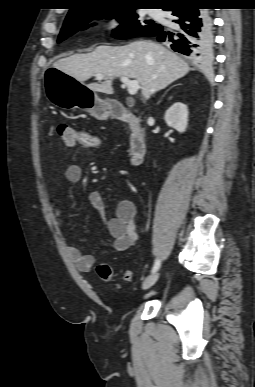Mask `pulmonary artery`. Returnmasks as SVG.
<instances>
[{
    "label": "pulmonary artery",
    "instance_id": "e3ab8cb5",
    "mask_svg": "<svg viewBox=\"0 0 255 387\" xmlns=\"http://www.w3.org/2000/svg\"><path fill=\"white\" fill-rule=\"evenodd\" d=\"M150 15L153 16V17H160V16H161V13L158 12V11H151V12H150Z\"/></svg>",
    "mask_w": 255,
    "mask_h": 387
}]
</instances>
